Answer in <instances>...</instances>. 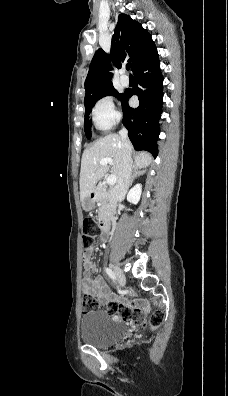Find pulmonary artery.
Here are the masks:
<instances>
[{"label": "pulmonary artery", "mask_w": 228, "mask_h": 396, "mask_svg": "<svg viewBox=\"0 0 228 396\" xmlns=\"http://www.w3.org/2000/svg\"><path fill=\"white\" fill-rule=\"evenodd\" d=\"M120 83H121L123 86H128V84H129V78H128L125 74H122V75L120 76Z\"/></svg>", "instance_id": "obj_1"}]
</instances>
